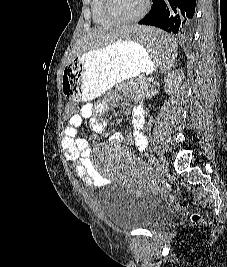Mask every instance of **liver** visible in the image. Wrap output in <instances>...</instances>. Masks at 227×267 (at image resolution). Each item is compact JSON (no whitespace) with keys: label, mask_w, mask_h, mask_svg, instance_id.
<instances>
[{"label":"liver","mask_w":227,"mask_h":267,"mask_svg":"<svg viewBox=\"0 0 227 267\" xmlns=\"http://www.w3.org/2000/svg\"><path fill=\"white\" fill-rule=\"evenodd\" d=\"M124 33H129V30H119V26L92 29L76 42L67 62L70 63L77 56L103 48L116 40L122 39Z\"/></svg>","instance_id":"1"}]
</instances>
